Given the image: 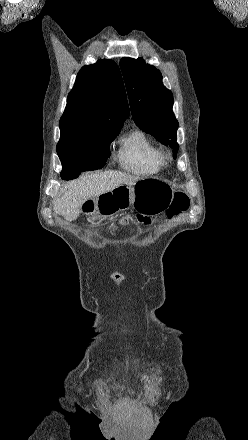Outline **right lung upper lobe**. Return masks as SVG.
<instances>
[{
	"label": "right lung upper lobe",
	"instance_id": "obj_1",
	"mask_svg": "<svg viewBox=\"0 0 248 440\" xmlns=\"http://www.w3.org/2000/svg\"><path fill=\"white\" fill-rule=\"evenodd\" d=\"M128 116L126 92L117 64L103 59L84 66L60 119L57 148L75 144L94 133L120 131Z\"/></svg>",
	"mask_w": 248,
	"mask_h": 440
}]
</instances>
